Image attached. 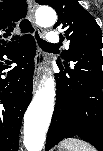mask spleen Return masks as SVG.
Here are the masks:
<instances>
[{
	"label": "spleen",
	"mask_w": 103,
	"mask_h": 151,
	"mask_svg": "<svg viewBox=\"0 0 103 151\" xmlns=\"http://www.w3.org/2000/svg\"><path fill=\"white\" fill-rule=\"evenodd\" d=\"M60 149H67L68 151H96L88 143L77 138H70L63 140L59 146Z\"/></svg>",
	"instance_id": "1"
}]
</instances>
